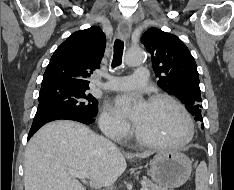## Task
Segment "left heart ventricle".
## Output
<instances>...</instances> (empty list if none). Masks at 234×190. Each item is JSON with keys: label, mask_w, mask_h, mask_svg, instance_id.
<instances>
[{"label": "left heart ventricle", "mask_w": 234, "mask_h": 190, "mask_svg": "<svg viewBox=\"0 0 234 190\" xmlns=\"http://www.w3.org/2000/svg\"><path fill=\"white\" fill-rule=\"evenodd\" d=\"M136 126L145 137L159 141L181 140L187 132L181 112L165 101L147 103Z\"/></svg>", "instance_id": "left-heart-ventricle-1"}]
</instances>
